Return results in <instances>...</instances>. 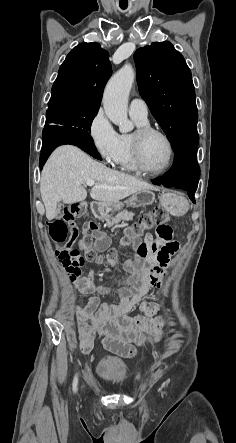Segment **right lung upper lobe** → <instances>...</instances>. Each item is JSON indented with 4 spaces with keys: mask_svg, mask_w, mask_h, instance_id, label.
<instances>
[{
    "mask_svg": "<svg viewBox=\"0 0 236 443\" xmlns=\"http://www.w3.org/2000/svg\"><path fill=\"white\" fill-rule=\"evenodd\" d=\"M111 74L109 53L97 42L81 43L70 51L60 66L48 104L66 101L99 108Z\"/></svg>",
    "mask_w": 236,
    "mask_h": 443,
    "instance_id": "right-lung-upper-lobe-1",
    "label": "right lung upper lobe"
}]
</instances>
